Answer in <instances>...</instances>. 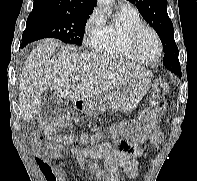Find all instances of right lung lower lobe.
I'll return each instance as SVG.
<instances>
[{"instance_id": "98d812e1", "label": "right lung lower lobe", "mask_w": 197, "mask_h": 181, "mask_svg": "<svg viewBox=\"0 0 197 181\" xmlns=\"http://www.w3.org/2000/svg\"><path fill=\"white\" fill-rule=\"evenodd\" d=\"M27 44H28L27 41L22 40V43H21L20 47H24V46L27 45Z\"/></svg>"}]
</instances>
